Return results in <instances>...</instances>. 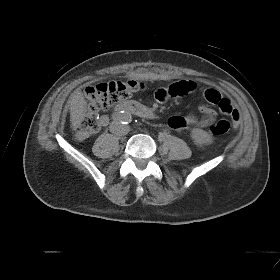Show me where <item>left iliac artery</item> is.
<instances>
[{
    "instance_id": "44dca946",
    "label": "left iliac artery",
    "mask_w": 280,
    "mask_h": 280,
    "mask_svg": "<svg viewBox=\"0 0 280 280\" xmlns=\"http://www.w3.org/2000/svg\"><path fill=\"white\" fill-rule=\"evenodd\" d=\"M126 119H127L128 121H130L129 116H126Z\"/></svg>"
}]
</instances>
